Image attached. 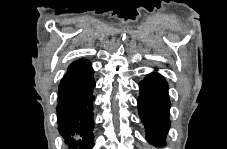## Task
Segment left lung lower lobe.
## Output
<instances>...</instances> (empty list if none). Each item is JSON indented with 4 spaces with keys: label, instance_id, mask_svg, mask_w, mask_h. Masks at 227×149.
I'll return each instance as SVG.
<instances>
[{
    "label": "left lung lower lobe",
    "instance_id": "0a47b994",
    "mask_svg": "<svg viewBox=\"0 0 227 149\" xmlns=\"http://www.w3.org/2000/svg\"><path fill=\"white\" fill-rule=\"evenodd\" d=\"M138 110L146 130V139L160 146L165 142L170 127L168 84L157 72L150 73L140 83Z\"/></svg>",
    "mask_w": 227,
    "mask_h": 149
}]
</instances>
